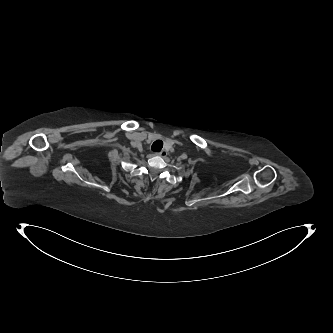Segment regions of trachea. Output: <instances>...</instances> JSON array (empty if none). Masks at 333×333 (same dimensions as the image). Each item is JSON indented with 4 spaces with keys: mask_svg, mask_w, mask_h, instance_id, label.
I'll list each match as a JSON object with an SVG mask.
<instances>
[{
    "mask_svg": "<svg viewBox=\"0 0 333 333\" xmlns=\"http://www.w3.org/2000/svg\"><path fill=\"white\" fill-rule=\"evenodd\" d=\"M162 148L163 142L161 140H156L151 146V150L154 152H159Z\"/></svg>",
    "mask_w": 333,
    "mask_h": 333,
    "instance_id": "trachea-1",
    "label": "trachea"
}]
</instances>
